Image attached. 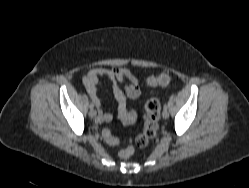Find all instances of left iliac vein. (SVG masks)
<instances>
[{"instance_id": "1", "label": "left iliac vein", "mask_w": 249, "mask_h": 188, "mask_svg": "<svg viewBox=\"0 0 249 188\" xmlns=\"http://www.w3.org/2000/svg\"><path fill=\"white\" fill-rule=\"evenodd\" d=\"M162 117L164 119H167L169 117V112L167 109H163V112H162Z\"/></svg>"}]
</instances>
